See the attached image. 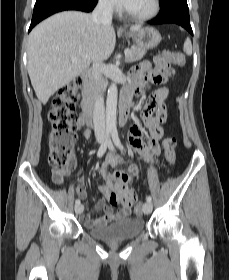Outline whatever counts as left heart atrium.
Segmentation results:
<instances>
[{
	"label": "left heart atrium",
	"instance_id": "39dd6f15",
	"mask_svg": "<svg viewBox=\"0 0 229 280\" xmlns=\"http://www.w3.org/2000/svg\"><path fill=\"white\" fill-rule=\"evenodd\" d=\"M117 3L122 7H127L131 0H116Z\"/></svg>",
	"mask_w": 229,
	"mask_h": 280
}]
</instances>
